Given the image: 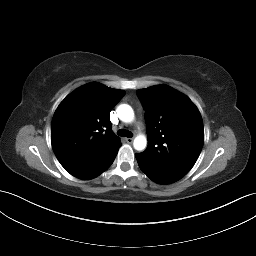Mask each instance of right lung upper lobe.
<instances>
[{
    "label": "right lung upper lobe",
    "instance_id": "cb5924a9",
    "mask_svg": "<svg viewBox=\"0 0 256 256\" xmlns=\"http://www.w3.org/2000/svg\"><path fill=\"white\" fill-rule=\"evenodd\" d=\"M124 95L122 90L93 82L79 87L61 102L52 119L51 142L66 170L120 148L109 115Z\"/></svg>",
    "mask_w": 256,
    "mask_h": 256
}]
</instances>
